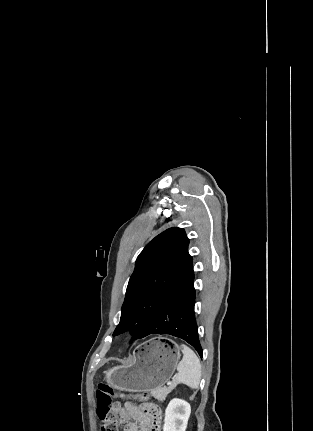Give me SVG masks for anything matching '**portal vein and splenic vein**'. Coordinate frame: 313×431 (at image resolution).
<instances>
[{
  "label": "portal vein and splenic vein",
  "instance_id": "obj_1",
  "mask_svg": "<svg viewBox=\"0 0 313 431\" xmlns=\"http://www.w3.org/2000/svg\"><path fill=\"white\" fill-rule=\"evenodd\" d=\"M172 381H174V380H172ZM172 382H169L168 384H171Z\"/></svg>",
  "mask_w": 313,
  "mask_h": 431
}]
</instances>
